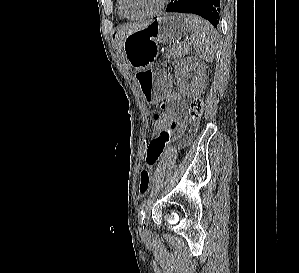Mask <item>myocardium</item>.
Instances as JSON below:
<instances>
[{"label": "myocardium", "mask_w": 299, "mask_h": 273, "mask_svg": "<svg viewBox=\"0 0 299 273\" xmlns=\"http://www.w3.org/2000/svg\"><path fill=\"white\" fill-rule=\"evenodd\" d=\"M170 0H161V2L151 11L144 13V14H140V15H131L128 14L125 11L124 8V0H119V10L122 13V15L126 18L129 19H144V18H148V17H152L154 15H157L158 13H160L168 4Z\"/></svg>", "instance_id": "myocardium-1"}]
</instances>
